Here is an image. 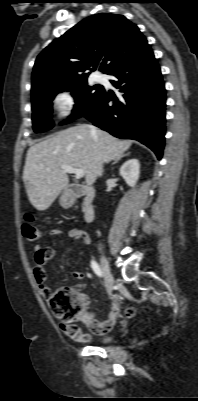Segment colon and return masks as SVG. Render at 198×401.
I'll use <instances>...</instances> for the list:
<instances>
[{
    "instance_id": "5ec220e1",
    "label": "colon",
    "mask_w": 198,
    "mask_h": 401,
    "mask_svg": "<svg viewBox=\"0 0 198 401\" xmlns=\"http://www.w3.org/2000/svg\"><path fill=\"white\" fill-rule=\"evenodd\" d=\"M21 230L23 236L30 241L41 238V230L36 226L35 219L31 214L24 216ZM45 297L49 300L52 313L62 320L63 325L68 329V335L71 337H75L79 331L77 322L89 327L95 321L94 313L85 307L80 295L71 288H59ZM134 313L133 308H128L125 311V315L128 317L133 316Z\"/></svg>"
}]
</instances>
